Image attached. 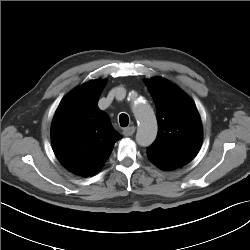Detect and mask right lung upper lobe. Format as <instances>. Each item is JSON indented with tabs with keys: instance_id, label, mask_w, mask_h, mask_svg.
Instances as JSON below:
<instances>
[{
	"instance_id": "right-lung-upper-lobe-1",
	"label": "right lung upper lobe",
	"mask_w": 250,
	"mask_h": 250,
	"mask_svg": "<svg viewBox=\"0 0 250 250\" xmlns=\"http://www.w3.org/2000/svg\"><path fill=\"white\" fill-rule=\"evenodd\" d=\"M105 85V80L96 79L75 88L61 101L52 121L54 153L76 175L97 173L122 138L97 106Z\"/></svg>"
}]
</instances>
